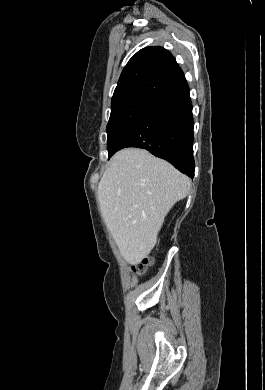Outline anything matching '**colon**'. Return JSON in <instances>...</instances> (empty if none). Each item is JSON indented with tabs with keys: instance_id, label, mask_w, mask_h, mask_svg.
<instances>
[{
	"instance_id": "obj_1",
	"label": "colon",
	"mask_w": 265,
	"mask_h": 390,
	"mask_svg": "<svg viewBox=\"0 0 265 390\" xmlns=\"http://www.w3.org/2000/svg\"><path fill=\"white\" fill-rule=\"evenodd\" d=\"M153 259L151 257H145L133 270L139 275L146 273L148 268L152 265Z\"/></svg>"
}]
</instances>
